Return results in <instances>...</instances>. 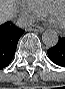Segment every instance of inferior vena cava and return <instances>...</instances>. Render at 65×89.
<instances>
[{
  "instance_id": "1",
  "label": "inferior vena cava",
  "mask_w": 65,
  "mask_h": 89,
  "mask_svg": "<svg viewBox=\"0 0 65 89\" xmlns=\"http://www.w3.org/2000/svg\"><path fill=\"white\" fill-rule=\"evenodd\" d=\"M32 24H33V21L26 17H20L16 22V26L21 29H27L31 27Z\"/></svg>"
}]
</instances>
